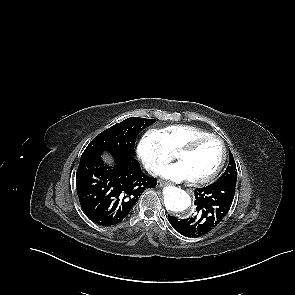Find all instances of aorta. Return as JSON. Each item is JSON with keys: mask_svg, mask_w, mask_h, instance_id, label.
Wrapping results in <instances>:
<instances>
[{"mask_svg": "<svg viewBox=\"0 0 295 295\" xmlns=\"http://www.w3.org/2000/svg\"><path fill=\"white\" fill-rule=\"evenodd\" d=\"M163 198L166 209L174 213L187 212L191 207L189 194L175 186H166L163 190Z\"/></svg>", "mask_w": 295, "mask_h": 295, "instance_id": "1", "label": "aorta"}]
</instances>
